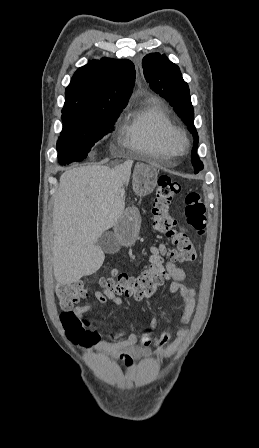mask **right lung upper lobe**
Segmentation results:
<instances>
[{
  "mask_svg": "<svg viewBox=\"0 0 259 448\" xmlns=\"http://www.w3.org/2000/svg\"><path fill=\"white\" fill-rule=\"evenodd\" d=\"M134 83L135 67L127 59L89 61L75 72L66 88L62 115L123 109Z\"/></svg>",
  "mask_w": 259,
  "mask_h": 448,
  "instance_id": "cb5924a9",
  "label": "right lung upper lobe"
}]
</instances>
